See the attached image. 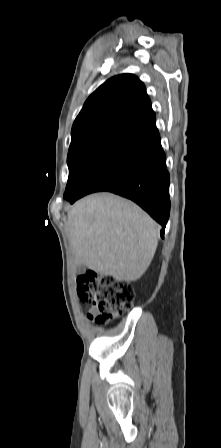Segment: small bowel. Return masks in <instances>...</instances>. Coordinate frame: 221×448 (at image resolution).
I'll return each mask as SVG.
<instances>
[{"mask_svg":"<svg viewBox=\"0 0 221 448\" xmlns=\"http://www.w3.org/2000/svg\"><path fill=\"white\" fill-rule=\"evenodd\" d=\"M89 313H90V315H94V314H95V309H94V308H91L90 311H89Z\"/></svg>","mask_w":221,"mask_h":448,"instance_id":"obj_1","label":"small bowel"}]
</instances>
